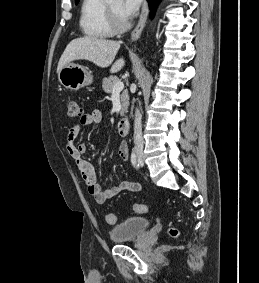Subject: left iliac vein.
<instances>
[{
  "mask_svg": "<svg viewBox=\"0 0 259 283\" xmlns=\"http://www.w3.org/2000/svg\"><path fill=\"white\" fill-rule=\"evenodd\" d=\"M139 164L141 165V166H143V161H142V159L139 157Z\"/></svg>",
  "mask_w": 259,
  "mask_h": 283,
  "instance_id": "4c4485c4",
  "label": "left iliac vein"
}]
</instances>
